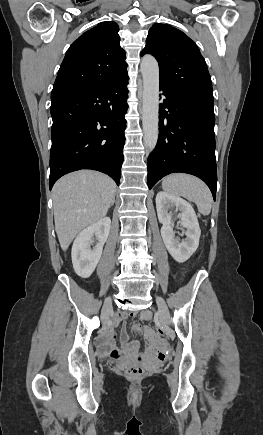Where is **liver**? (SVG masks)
<instances>
[{
    "mask_svg": "<svg viewBox=\"0 0 263 435\" xmlns=\"http://www.w3.org/2000/svg\"><path fill=\"white\" fill-rule=\"evenodd\" d=\"M115 182L92 170L60 178L53 187L55 230L63 251L87 226L103 218L114 203Z\"/></svg>",
    "mask_w": 263,
    "mask_h": 435,
    "instance_id": "liver-1",
    "label": "liver"
}]
</instances>
